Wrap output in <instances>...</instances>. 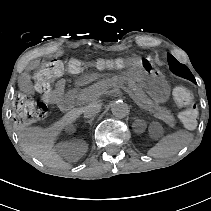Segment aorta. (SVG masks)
Listing matches in <instances>:
<instances>
[{"label": "aorta", "instance_id": "aorta-1", "mask_svg": "<svg viewBox=\"0 0 211 211\" xmlns=\"http://www.w3.org/2000/svg\"><path fill=\"white\" fill-rule=\"evenodd\" d=\"M111 112L118 118H124L129 114L130 110L125 102L119 100L111 104Z\"/></svg>", "mask_w": 211, "mask_h": 211}]
</instances>
